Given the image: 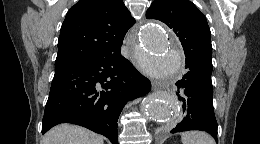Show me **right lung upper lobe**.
<instances>
[{
    "instance_id": "right-lung-upper-lobe-1",
    "label": "right lung upper lobe",
    "mask_w": 260,
    "mask_h": 144,
    "mask_svg": "<svg viewBox=\"0 0 260 144\" xmlns=\"http://www.w3.org/2000/svg\"><path fill=\"white\" fill-rule=\"evenodd\" d=\"M134 23L122 0H80L62 24L55 70L119 52Z\"/></svg>"
}]
</instances>
